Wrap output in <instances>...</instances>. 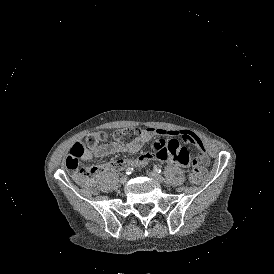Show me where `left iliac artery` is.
<instances>
[{
    "instance_id": "left-iliac-artery-1",
    "label": "left iliac artery",
    "mask_w": 274,
    "mask_h": 274,
    "mask_svg": "<svg viewBox=\"0 0 274 274\" xmlns=\"http://www.w3.org/2000/svg\"><path fill=\"white\" fill-rule=\"evenodd\" d=\"M154 172H156V173H161L162 172V170L160 169V168H158V167H154Z\"/></svg>"
}]
</instances>
